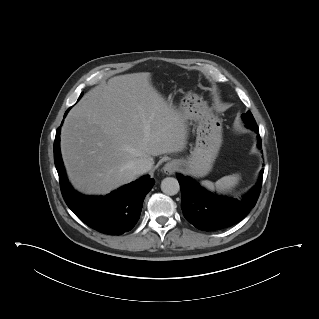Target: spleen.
<instances>
[{"mask_svg": "<svg viewBox=\"0 0 319 319\" xmlns=\"http://www.w3.org/2000/svg\"><path fill=\"white\" fill-rule=\"evenodd\" d=\"M240 180L239 174H233L224 176L221 179L217 180L215 183L204 180L201 182V185L210 191H214L215 189L218 192H225L232 187H234Z\"/></svg>", "mask_w": 319, "mask_h": 319, "instance_id": "1", "label": "spleen"}]
</instances>
